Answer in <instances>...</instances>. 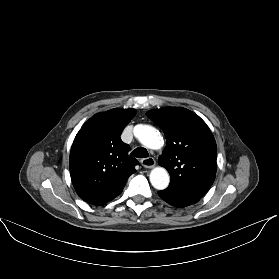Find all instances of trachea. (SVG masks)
I'll return each mask as SVG.
<instances>
[{
    "label": "trachea",
    "mask_w": 279,
    "mask_h": 279,
    "mask_svg": "<svg viewBox=\"0 0 279 279\" xmlns=\"http://www.w3.org/2000/svg\"><path fill=\"white\" fill-rule=\"evenodd\" d=\"M131 155L137 158H146L149 156L147 150L143 147L136 148L134 151L131 152Z\"/></svg>",
    "instance_id": "trachea-1"
}]
</instances>
